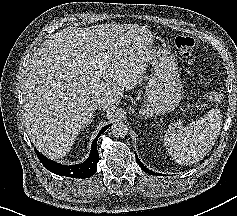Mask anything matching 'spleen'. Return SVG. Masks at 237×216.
Masks as SVG:
<instances>
[{
  "instance_id": "obj_1",
  "label": "spleen",
  "mask_w": 237,
  "mask_h": 216,
  "mask_svg": "<svg viewBox=\"0 0 237 216\" xmlns=\"http://www.w3.org/2000/svg\"><path fill=\"white\" fill-rule=\"evenodd\" d=\"M218 126L204 116L177 131H168L160 139L167 154L174 160L197 161L217 139Z\"/></svg>"
}]
</instances>
